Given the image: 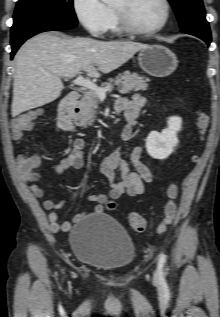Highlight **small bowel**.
Returning <instances> with one entry per match:
<instances>
[{
  "label": "small bowel",
  "instance_id": "1",
  "mask_svg": "<svg viewBox=\"0 0 220 317\" xmlns=\"http://www.w3.org/2000/svg\"><path fill=\"white\" fill-rule=\"evenodd\" d=\"M145 100L139 95L133 96L131 99H120L117 101V107L125 112L128 120V126L122 134L123 139H130L134 134V125ZM84 141L81 137L73 138V149L58 163L52 166V171L61 176L68 170H78L84 164ZM143 148L137 146L129 153L128 160L122 158L120 149H115L106 155L101 164V172L110 183V191L108 194H90L88 200L95 203L93 212L101 214L104 206L109 200L118 199L121 195L138 196L144 193L145 185L152 181V174L149 167L143 162ZM39 160L34 157H19V171L25 183L29 184L31 192L37 198H43L45 191L38 182L42 178V173L38 171ZM118 173V174H117ZM65 201L55 202L52 199L43 200V208L49 212L48 221L50 228L54 232L67 231L71 224L69 222H59L57 209L61 208ZM85 216L79 213L75 216V221L81 220Z\"/></svg>",
  "mask_w": 220,
  "mask_h": 317
}]
</instances>
